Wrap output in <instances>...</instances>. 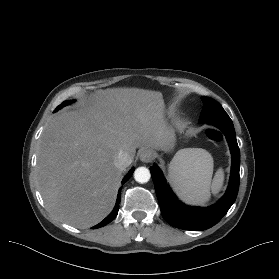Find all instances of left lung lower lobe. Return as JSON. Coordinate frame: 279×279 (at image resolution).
Masks as SVG:
<instances>
[{
  "mask_svg": "<svg viewBox=\"0 0 279 279\" xmlns=\"http://www.w3.org/2000/svg\"><path fill=\"white\" fill-rule=\"evenodd\" d=\"M218 127L226 136L232 154L229 186L225 195L215 205L208 208L189 207L180 203L168 187L157 165L150 168L156 195L164 219L172 226L185 230H205L220 221L234 203L239 189L240 150L231 120L208 122Z\"/></svg>",
  "mask_w": 279,
  "mask_h": 279,
  "instance_id": "0a47b994",
  "label": "left lung lower lobe"
}]
</instances>
